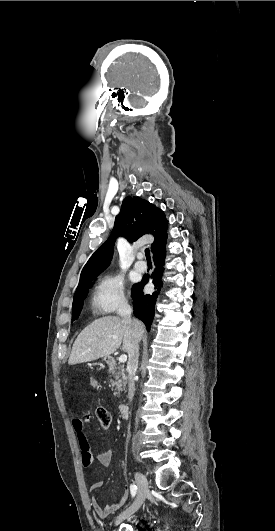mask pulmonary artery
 <instances>
[{"instance_id": "obj_1", "label": "pulmonary artery", "mask_w": 275, "mask_h": 531, "mask_svg": "<svg viewBox=\"0 0 275 531\" xmlns=\"http://www.w3.org/2000/svg\"><path fill=\"white\" fill-rule=\"evenodd\" d=\"M137 257H138V261L135 262L134 264V268L135 270L137 271H140V272H144L146 271L147 269V264L145 261H143V258H144V250L141 248L139 249L138 253H137Z\"/></svg>"}]
</instances>
